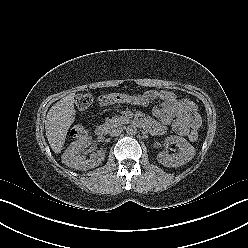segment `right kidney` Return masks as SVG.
<instances>
[{
  "instance_id": "ca27d5eb",
  "label": "right kidney",
  "mask_w": 248,
  "mask_h": 248,
  "mask_svg": "<svg viewBox=\"0 0 248 248\" xmlns=\"http://www.w3.org/2000/svg\"><path fill=\"white\" fill-rule=\"evenodd\" d=\"M92 144V138L82 137L72 142L62 155V163L76 170H89L99 166L105 157L104 151H97L86 159L82 153Z\"/></svg>"
}]
</instances>
